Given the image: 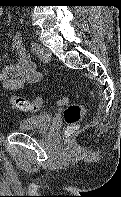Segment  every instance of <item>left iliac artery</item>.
Returning <instances> with one entry per match:
<instances>
[{
  "label": "left iliac artery",
  "instance_id": "1",
  "mask_svg": "<svg viewBox=\"0 0 121 197\" xmlns=\"http://www.w3.org/2000/svg\"><path fill=\"white\" fill-rule=\"evenodd\" d=\"M39 45L36 43V42H32L31 43V48H32V51L34 52V53H37V51L39 50Z\"/></svg>",
  "mask_w": 121,
  "mask_h": 197
}]
</instances>
